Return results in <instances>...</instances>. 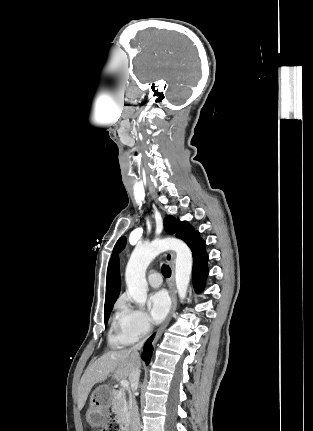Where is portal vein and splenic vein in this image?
I'll use <instances>...</instances> for the list:
<instances>
[{"instance_id": "1", "label": "portal vein and splenic vein", "mask_w": 313, "mask_h": 431, "mask_svg": "<svg viewBox=\"0 0 313 431\" xmlns=\"http://www.w3.org/2000/svg\"><path fill=\"white\" fill-rule=\"evenodd\" d=\"M120 385H121L123 388H128V387H129V382H128L127 380H121V381H120Z\"/></svg>"}]
</instances>
